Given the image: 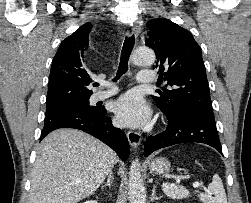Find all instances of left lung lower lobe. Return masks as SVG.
I'll use <instances>...</instances> for the list:
<instances>
[{"instance_id": "0a47b994", "label": "left lung lower lobe", "mask_w": 251, "mask_h": 203, "mask_svg": "<svg viewBox=\"0 0 251 203\" xmlns=\"http://www.w3.org/2000/svg\"><path fill=\"white\" fill-rule=\"evenodd\" d=\"M167 118L169 120L167 129L147 138L144 146L145 156L160 148L186 142L204 143L222 154L214 117L198 111H185Z\"/></svg>"}]
</instances>
